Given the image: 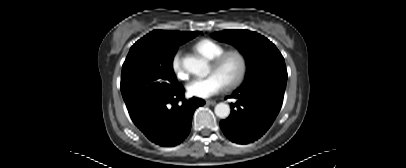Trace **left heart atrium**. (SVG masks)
I'll list each match as a JSON object with an SVG mask.
<instances>
[{
	"label": "left heart atrium",
	"mask_w": 406,
	"mask_h": 168,
	"mask_svg": "<svg viewBox=\"0 0 406 168\" xmlns=\"http://www.w3.org/2000/svg\"><path fill=\"white\" fill-rule=\"evenodd\" d=\"M225 84L215 74H211L206 78H195L191 80L187 86L189 95L197 98H208L219 92L224 88Z\"/></svg>",
	"instance_id": "39dd6f15"
}]
</instances>
